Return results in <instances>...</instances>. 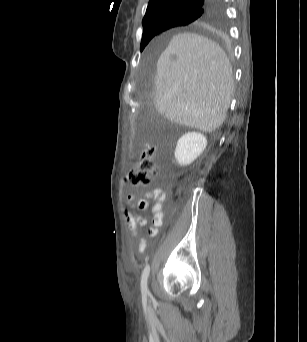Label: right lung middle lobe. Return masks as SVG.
<instances>
[{
  "instance_id": "obj_1",
  "label": "right lung middle lobe",
  "mask_w": 307,
  "mask_h": 342,
  "mask_svg": "<svg viewBox=\"0 0 307 342\" xmlns=\"http://www.w3.org/2000/svg\"><path fill=\"white\" fill-rule=\"evenodd\" d=\"M200 15L201 11L198 9H183L160 14L152 26L144 29L140 50L142 51L155 35L176 26L190 24Z\"/></svg>"
}]
</instances>
